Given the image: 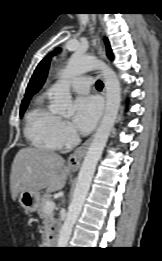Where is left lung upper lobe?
I'll return each mask as SVG.
<instances>
[{
  "label": "left lung upper lobe",
  "mask_w": 162,
  "mask_h": 261,
  "mask_svg": "<svg viewBox=\"0 0 162 261\" xmlns=\"http://www.w3.org/2000/svg\"><path fill=\"white\" fill-rule=\"evenodd\" d=\"M105 43H106V46H107V55L110 59H113V54H112V51H111V48H110V45H109V42L107 40V38L104 39ZM60 51V49H56L54 50L51 54H49L43 61L40 62V64L37 66L35 72H34V75L32 76L31 80H30V83L33 82L34 78H35V75L37 73V71L39 70V68L42 66V64L45 62V60L50 57V56H53L55 54H57L58 52ZM29 83V84H30Z\"/></svg>",
  "instance_id": "1"
}]
</instances>
